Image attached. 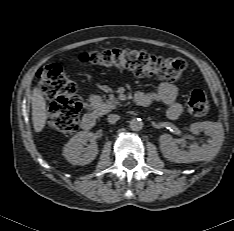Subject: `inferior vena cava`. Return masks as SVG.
Wrapping results in <instances>:
<instances>
[{"label":"inferior vena cava","mask_w":234,"mask_h":231,"mask_svg":"<svg viewBox=\"0 0 234 231\" xmlns=\"http://www.w3.org/2000/svg\"><path fill=\"white\" fill-rule=\"evenodd\" d=\"M119 119H120V116L117 115V114H110L108 116V122L111 123V124L116 123Z\"/></svg>","instance_id":"602c4592"}]
</instances>
